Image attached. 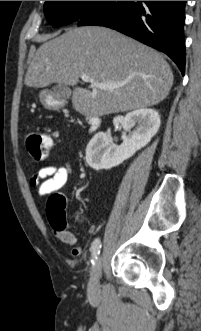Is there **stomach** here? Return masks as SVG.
Wrapping results in <instances>:
<instances>
[{"instance_id": "1", "label": "stomach", "mask_w": 201, "mask_h": 331, "mask_svg": "<svg viewBox=\"0 0 201 331\" xmlns=\"http://www.w3.org/2000/svg\"><path fill=\"white\" fill-rule=\"evenodd\" d=\"M39 97L45 107L50 109H56L59 107V103L46 91L40 92Z\"/></svg>"}]
</instances>
